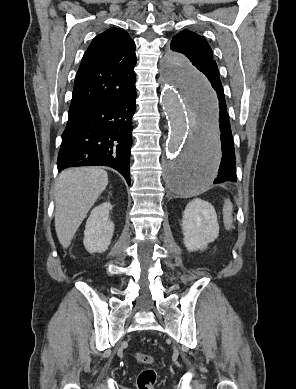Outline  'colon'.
Returning a JSON list of instances; mask_svg holds the SVG:
<instances>
[{
  "label": "colon",
  "instance_id": "colon-1",
  "mask_svg": "<svg viewBox=\"0 0 296 389\" xmlns=\"http://www.w3.org/2000/svg\"><path fill=\"white\" fill-rule=\"evenodd\" d=\"M135 358L139 363L151 365L154 363V358L151 355L144 353H136ZM157 381V372L154 368H145L140 371L137 377L138 389H153Z\"/></svg>",
  "mask_w": 296,
  "mask_h": 389
}]
</instances>
